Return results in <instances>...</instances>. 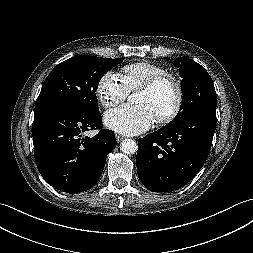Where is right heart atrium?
Listing matches in <instances>:
<instances>
[{"label":"right heart atrium","mask_w":253,"mask_h":253,"mask_svg":"<svg viewBox=\"0 0 253 253\" xmlns=\"http://www.w3.org/2000/svg\"><path fill=\"white\" fill-rule=\"evenodd\" d=\"M96 92L101 105L110 109L123 102L130 91L118 74L107 72L100 78Z\"/></svg>","instance_id":"d8ad5b80"}]
</instances>
